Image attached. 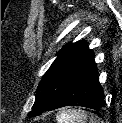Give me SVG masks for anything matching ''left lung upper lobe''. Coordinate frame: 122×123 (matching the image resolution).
Listing matches in <instances>:
<instances>
[{
	"instance_id": "1",
	"label": "left lung upper lobe",
	"mask_w": 122,
	"mask_h": 123,
	"mask_svg": "<svg viewBox=\"0 0 122 123\" xmlns=\"http://www.w3.org/2000/svg\"><path fill=\"white\" fill-rule=\"evenodd\" d=\"M93 59L94 54L84 40L63 47L43 75L35 103L28 115L34 117L47 111L63 94L71 80Z\"/></svg>"
}]
</instances>
